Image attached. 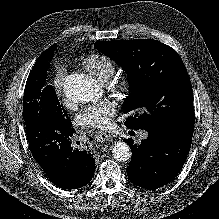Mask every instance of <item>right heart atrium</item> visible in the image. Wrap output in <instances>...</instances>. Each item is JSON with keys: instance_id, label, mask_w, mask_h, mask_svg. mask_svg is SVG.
Listing matches in <instances>:
<instances>
[{"instance_id": "d8ad5b80", "label": "right heart atrium", "mask_w": 219, "mask_h": 219, "mask_svg": "<svg viewBox=\"0 0 219 219\" xmlns=\"http://www.w3.org/2000/svg\"><path fill=\"white\" fill-rule=\"evenodd\" d=\"M67 76V70L64 67H60L53 78V88L57 94H61L64 86V82Z\"/></svg>"}]
</instances>
